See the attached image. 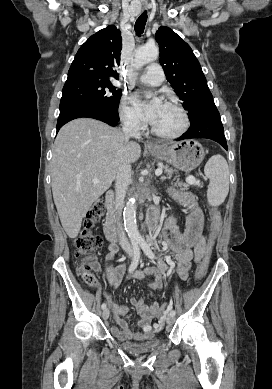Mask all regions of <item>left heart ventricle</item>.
Instances as JSON below:
<instances>
[{
  "label": "left heart ventricle",
  "instance_id": "b2bd125f",
  "mask_svg": "<svg viewBox=\"0 0 272 389\" xmlns=\"http://www.w3.org/2000/svg\"><path fill=\"white\" fill-rule=\"evenodd\" d=\"M181 123L182 119L179 112L164 103L152 125L162 132H173L180 127Z\"/></svg>",
  "mask_w": 272,
  "mask_h": 389
}]
</instances>
